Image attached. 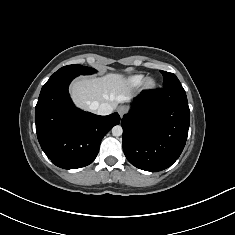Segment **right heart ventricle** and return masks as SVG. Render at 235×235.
Masks as SVG:
<instances>
[{
  "instance_id": "e07e8e85",
  "label": "right heart ventricle",
  "mask_w": 235,
  "mask_h": 235,
  "mask_svg": "<svg viewBox=\"0 0 235 235\" xmlns=\"http://www.w3.org/2000/svg\"><path fill=\"white\" fill-rule=\"evenodd\" d=\"M144 80V76L143 75H134V76H131L129 79H128V84L132 87H136V86H139L142 84Z\"/></svg>"
}]
</instances>
